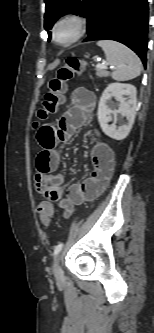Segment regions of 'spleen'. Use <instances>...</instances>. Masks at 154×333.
<instances>
[{
  "instance_id": "obj_1",
  "label": "spleen",
  "mask_w": 154,
  "mask_h": 333,
  "mask_svg": "<svg viewBox=\"0 0 154 333\" xmlns=\"http://www.w3.org/2000/svg\"><path fill=\"white\" fill-rule=\"evenodd\" d=\"M97 45L103 49L107 62L114 66L111 75L114 80L128 81L140 75L141 60L131 49L111 40H100Z\"/></svg>"
}]
</instances>
